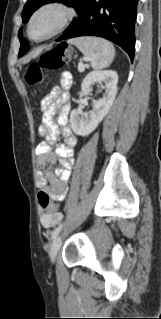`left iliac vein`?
<instances>
[{
	"instance_id": "1",
	"label": "left iliac vein",
	"mask_w": 161,
	"mask_h": 319,
	"mask_svg": "<svg viewBox=\"0 0 161 319\" xmlns=\"http://www.w3.org/2000/svg\"><path fill=\"white\" fill-rule=\"evenodd\" d=\"M61 242H62L61 236H57L51 243V247L49 250V257H50V260L52 262H54L56 260L57 253H58V250L60 248Z\"/></svg>"
}]
</instances>
